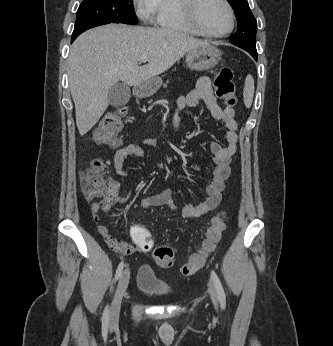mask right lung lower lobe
<instances>
[{"label": "right lung lower lobe", "instance_id": "1", "mask_svg": "<svg viewBox=\"0 0 333 346\" xmlns=\"http://www.w3.org/2000/svg\"><path fill=\"white\" fill-rule=\"evenodd\" d=\"M76 39V37H72V40H71V42H73L74 40Z\"/></svg>", "mask_w": 333, "mask_h": 346}]
</instances>
